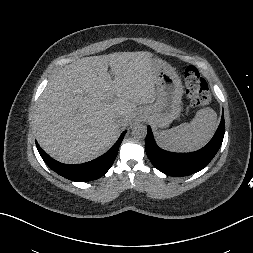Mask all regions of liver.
Instances as JSON below:
<instances>
[{
	"mask_svg": "<svg viewBox=\"0 0 253 253\" xmlns=\"http://www.w3.org/2000/svg\"><path fill=\"white\" fill-rule=\"evenodd\" d=\"M153 63L149 52H115L82 58L55 71L33 113L39 145L68 164L103 154L137 105L157 99Z\"/></svg>",
	"mask_w": 253,
	"mask_h": 253,
	"instance_id": "1",
	"label": "liver"
}]
</instances>
